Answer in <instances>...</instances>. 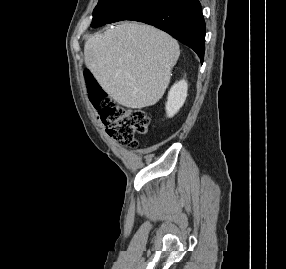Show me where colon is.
I'll return each instance as SVG.
<instances>
[{
  "label": "colon",
  "instance_id": "obj_1",
  "mask_svg": "<svg viewBox=\"0 0 286 269\" xmlns=\"http://www.w3.org/2000/svg\"><path fill=\"white\" fill-rule=\"evenodd\" d=\"M87 88L90 102L98 112L108 135L121 144L135 148V134L145 133L149 127L145 112L115 104L97 82L90 81Z\"/></svg>",
  "mask_w": 286,
  "mask_h": 269
}]
</instances>
